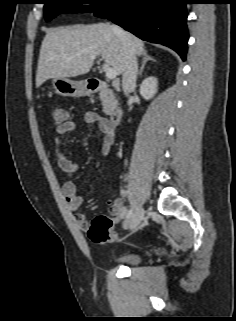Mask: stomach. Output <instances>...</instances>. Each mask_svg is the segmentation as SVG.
<instances>
[{
  "instance_id": "stomach-1",
  "label": "stomach",
  "mask_w": 236,
  "mask_h": 321,
  "mask_svg": "<svg viewBox=\"0 0 236 321\" xmlns=\"http://www.w3.org/2000/svg\"><path fill=\"white\" fill-rule=\"evenodd\" d=\"M55 92L61 96L81 97L90 94L86 81H74L68 78H55L52 81Z\"/></svg>"
}]
</instances>
